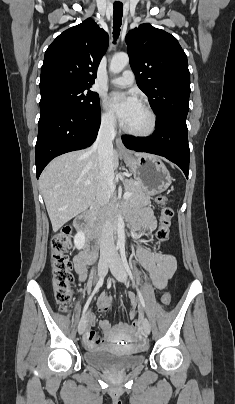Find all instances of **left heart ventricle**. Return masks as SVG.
I'll return each mask as SVG.
<instances>
[{"label":"left heart ventricle","instance_id":"left-heart-ventricle-1","mask_svg":"<svg viewBox=\"0 0 235 404\" xmlns=\"http://www.w3.org/2000/svg\"><path fill=\"white\" fill-rule=\"evenodd\" d=\"M148 121L146 111L138 105L129 120L125 123V126L133 130H144L148 126Z\"/></svg>","mask_w":235,"mask_h":404}]
</instances>
